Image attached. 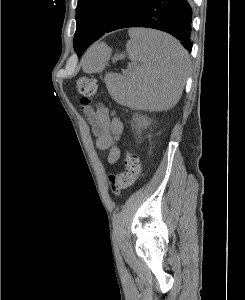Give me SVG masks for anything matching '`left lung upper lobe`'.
Masks as SVG:
<instances>
[{"label": "left lung upper lobe", "mask_w": 245, "mask_h": 300, "mask_svg": "<svg viewBox=\"0 0 245 300\" xmlns=\"http://www.w3.org/2000/svg\"><path fill=\"white\" fill-rule=\"evenodd\" d=\"M136 0H78L74 49L81 51L83 40L104 34L112 22Z\"/></svg>", "instance_id": "5c2ea615"}]
</instances>
